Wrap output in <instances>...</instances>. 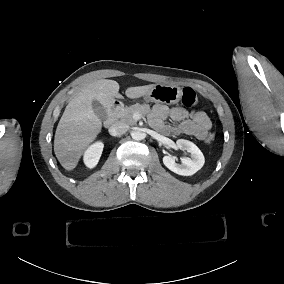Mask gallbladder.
<instances>
[{"instance_id":"gallbladder-1","label":"gallbladder","mask_w":284,"mask_h":284,"mask_svg":"<svg viewBox=\"0 0 284 284\" xmlns=\"http://www.w3.org/2000/svg\"><path fill=\"white\" fill-rule=\"evenodd\" d=\"M94 111L96 115L102 120L106 121L108 119V115L105 109H103L97 102H93Z\"/></svg>"}]
</instances>
